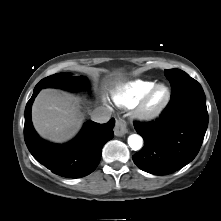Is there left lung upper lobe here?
<instances>
[{"instance_id": "left-lung-upper-lobe-1", "label": "left lung upper lobe", "mask_w": 221, "mask_h": 221, "mask_svg": "<svg viewBox=\"0 0 221 221\" xmlns=\"http://www.w3.org/2000/svg\"><path fill=\"white\" fill-rule=\"evenodd\" d=\"M164 74L171 84V95L180 92L181 90L199 85V83L191 78L187 73L179 69L165 70Z\"/></svg>"}]
</instances>
